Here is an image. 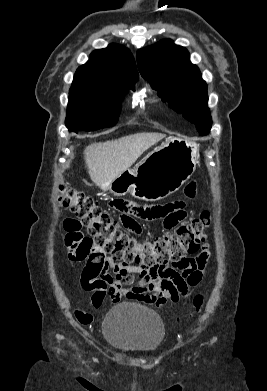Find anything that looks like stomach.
Segmentation results:
<instances>
[{
    "instance_id": "1",
    "label": "stomach",
    "mask_w": 267,
    "mask_h": 391,
    "mask_svg": "<svg viewBox=\"0 0 267 391\" xmlns=\"http://www.w3.org/2000/svg\"><path fill=\"white\" fill-rule=\"evenodd\" d=\"M199 148L182 138H168L135 168L122 172L109 186L115 196L156 201L177 190L194 173Z\"/></svg>"
}]
</instances>
